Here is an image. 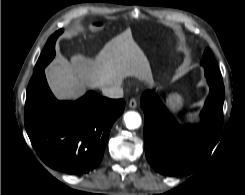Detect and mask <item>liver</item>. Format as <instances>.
Segmentation results:
<instances>
[{
	"instance_id": "1",
	"label": "liver",
	"mask_w": 245,
	"mask_h": 195,
	"mask_svg": "<svg viewBox=\"0 0 245 195\" xmlns=\"http://www.w3.org/2000/svg\"><path fill=\"white\" fill-rule=\"evenodd\" d=\"M46 76L54 93L67 99L79 97L85 87L120 86L128 76L152 83L149 60L130 29L109 41L94 61L77 54L69 62L58 55L47 67Z\"/></svg>"
}]
</instances>
